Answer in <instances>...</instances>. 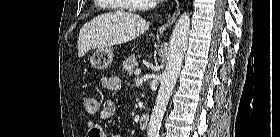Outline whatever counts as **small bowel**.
Returning <instances> with one entry per match:
<instances>
[{
	"label": "small bowel",
	"instance_id": "c3829d8e",
	"mask_svg": "<svg viewBox=\"0 0 280 137\" xmlns=\"http://www.w3.org/2000/svg\"><path fill=\"white\" fill-rule=\"evenodd\" d=\"M102 85L105 89L110 91H118L121 88V81L117 76L104 77L102 79ZM115 102L111 99L106 100L102 104V109L99 114L101 120L110 118L115 112ZM86 128L88 137H106L103 127L94 120H88L86 122Z\"/></svg>",
	"mask_w": 280,
	"mask_h": 137
}]
</instances>
